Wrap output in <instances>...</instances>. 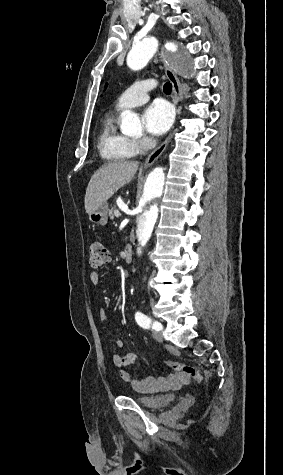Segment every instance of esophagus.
Masks as SVG:
<instances>
[{
	"label": "esophagus",
	"mask_w": 283,
	"mask_h": 475,
	"mask_svg": "<svg viewBox=\"0 0 283 475\" xmlns=\"http://www.w3.org/2000/svg\"><path fill=\"white\" fill-rule=\"evenodd\" d=\"M165 73H166L167 78L170 80V82L172 84L173 102L176 104L182 99V96H183L182 95L181 84H180L176 74L174 73L172 68L167 63H165ZM170 138H171V134L166 138V140H164V142L159 147H157L155 150H153L152 153H150V155H148V157L145 161V164H144L146 167L150 166L154 162H156V160L164 152L166 146L168 145V143L170 141Z\"/></svg>",
	"instance_id": "esophagus-1"
}]
</instances>
